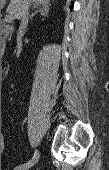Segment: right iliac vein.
Instances as JSON below:
<instances>
[{
    "mask_svg": "<svg viewBox=\"0 0 109 170\" xmlns=\"http://www.w3.org/2000/svg\"><path fill=\"white\" fill-rule=\"evenodd\" d=\"M30 167H32V166H30ZM30 167L26 166L25 164H22V165L15 167L14 170H28Z\"/></svg>",
    "mask_w": 109,
    "mask_h": 170,
    "instance_id": "63e3f726",
    "label": "right iliac vein"
}]
</instances>
